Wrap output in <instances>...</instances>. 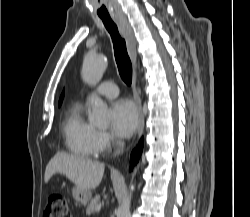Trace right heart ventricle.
<instances>
[{
  "label": "right heart ventricle",
  "mask_w": 250,
  "mask_h": 217,
  "mask_svg": "<svg viewBox=\"0 0 250 217\" xmlns=\"http://www.w3.org/2000/svg\"><path fill=\"white\" fill-rule=\"evenodd\" d=\"M96 128L83 117L80 103L72 104L62 123V135L69 152L81 157H94L96 149Z\"/></svg>",
  "instance_id": "obj_1"
}]
</instances>
